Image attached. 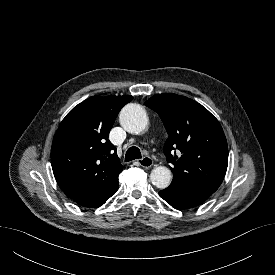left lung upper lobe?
<instances>
[{"label": "left lung upper lobe", "mask_w": 275, "mask_h": 275, "mask_svg": "<svg viewBox=\"0 0 275 275\" xmlns=\"http://www.w3.org/2000/svg\"><path fill=\"white\" fill-rule=\"evenodd\" d=\"M145 105L159 114L169 135L163 151L173 164L172 183L215 192L228 165L227 141L218 120L201 104L177 94H157ZM175 149L179 153L173 156Z\"/></svg>", "instance_id": "obj_1"}]
</instances>
